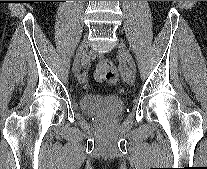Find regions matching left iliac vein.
Returning <instances> with one entry per match:
<instances>
[{
    "instance_id": "4c4485c4",
    "label": "left iliac vein",
    "mask_w": 207,
    "mask_h": 169,
    "mask_svg": "<svg viewBox=\"0 0 207 169\" xmlns=\"http://www.w3.org/2000/svg\"><path fill=\"white\" fill-rule=\"evenodd\" d=\"M119 54H120L121 58L130 67V68L127 67L124 71V79L127 83L133 84L135 82V74L132 71V69H133L132 66L135 64H134V60H133V57H132L130 51L128 50V48L125 46L124 43L119 44Z\"/></svg>"
}]
</instances>
